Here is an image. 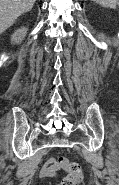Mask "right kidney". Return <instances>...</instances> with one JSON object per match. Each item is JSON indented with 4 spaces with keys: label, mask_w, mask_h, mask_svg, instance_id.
<instances>
[{
    "label": "right kidney",
    "mask_w": 119,
    "mask_h": 185,
    "mask_svg": "<svg viewBox=\"0 0 119 185\" xmlns=\"http://www.w3.org/2000/svg\"><path fill=\"white\" fill-rule=\"evenodd\" d=\"M27 28H25V27H22V28H20V29H17L14 33H13V35H12V37H11V42L13 43V44H19V43H21L22 42V40L25 38V36H26V34H27Z\"/></svg>",
    "instance_id": "right-kidney-1"
}]
</instances>
